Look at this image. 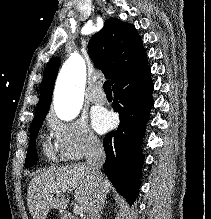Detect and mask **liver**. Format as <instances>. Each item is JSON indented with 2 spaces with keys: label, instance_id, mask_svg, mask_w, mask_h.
I'll list each match as a JSON object with an SVG mask.
<instances>
[{
  "label": "liver",
  "instance_id": "liver-1",
  "mask_svg": "<svg viewBox=\"0 0 211 219\" xmlns=\"http://www.w3.org/2000/svg\"><path fill=\"white\" fill-rule=\"evenodd\" d=\"M103 176V175H102ZM95 181L89 168L83 164L50 168L36 175L30 182L27 204L33 219H46L51 208L64 210L69 200L59 195L74 190V198L82 211L87 212L93 200ZM105 194L110 192L112 184L103 176ZM56 194L57 197H54Z\"/></svg>",
  "mask_w": 211,
  "mask_h": 219
}]
</instances>
